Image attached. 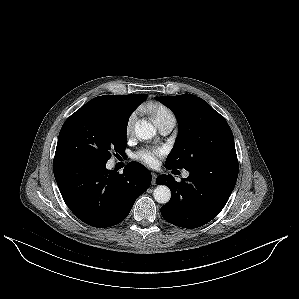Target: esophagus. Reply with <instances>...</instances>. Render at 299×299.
Segmentation results:
<instances>
[{"label":"esophagus","instance_id":"34e87169","mask_svg":"<svg viewBox=\"0 0 299 299\" xmlns=\"http://www.w3.org/2000/svg\"><path fill=\"white\" fill-rule=\"evenodd\" d=\"M151 176H152V185H156V178H157V174L152 172L151 173Z\"/></svg>","mask_w":299,"mask_h":299}]
</instances>
